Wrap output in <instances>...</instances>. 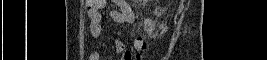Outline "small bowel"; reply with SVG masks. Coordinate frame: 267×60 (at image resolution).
I'll return each mask as SVG.
<instances>
[{"label":"small bowel","mask_w":267,"mask_h":60,"mask_svg":"<svg viewBox=\"0 0 267 60\" xmlns=\"http://www.w3.org/2000/svg\"><path fill=\"white\" fill-rule=\"evenodd\" d=\"M105 0H89L87 2V15L90 21L89 32L95 39H100L103 33V23L100 10L105 5ZM116 5L119 10H113L110 12V17L114 22L130 24L134 21V13L130 5L124 0H116ZM115 52L120 55L121 60H131L132 55L129 51L125 50V43L122 40H116ZM89 60H101L99 51H93Z\"/></svg>","instance_id":"c3829d8e"}]
</instances>
